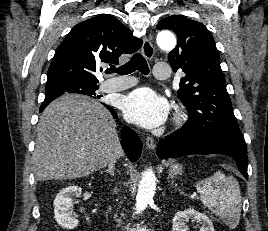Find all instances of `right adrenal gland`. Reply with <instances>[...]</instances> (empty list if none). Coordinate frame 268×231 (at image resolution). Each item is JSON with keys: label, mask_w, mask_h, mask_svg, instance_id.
Listing matches in <instances>:
<instances>
[{"label": "right adrenal gland", "mask_w": 268, "mask_h": 231, "mask_svg": "<svg viewBox=\"0 0 268 231\" xmlns=\"http://www.w3.org/2000/svg\"><path fill=\"white\" fill-rule=\"evenodd\" d=\"M103 173H108L111 176H114V174H115V164L114 163L109 164L108 169L100 171V174H103Z\"/></svg>", "instance_id": "obj_1"}]
</instances>
